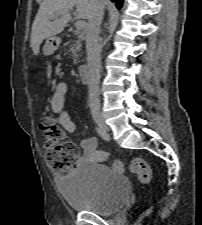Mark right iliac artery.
<instances>
[{"label":"right iliac artery","mask_w":202,"mask_h":225,"mask_svg":"<svg viewBox=\"0 0 202 225\" xmlns=\"http://www.w3.org/2000/svg\"><path fill=\"white\" fill-rule=\"evenodd\" d=\"M96 131H97L98 135H99L102 139H104V140H106V141H109V140H110L109 135H108L106 132H104L101 128L96 127Z\"/></svg>","instance_id":"right-iliac-artery-1"}]
</instances>
